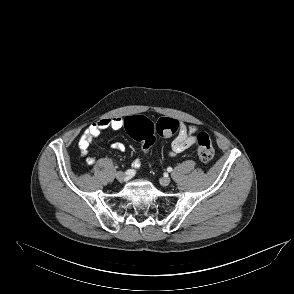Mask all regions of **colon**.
I'll use <instances>...</instances> for the list:
<instances>
[{"mask_svg": "<svg viewBox=\"0 0 294 294\" xmlns=\"http://www.w3.org/2000/svg\"><path fill=\"white\" fill-rule=\"evenodd\" d=\"M125 128L128 134L142 144L144 151L149 152L153 147L156 134L170 136L179 129V123L172 118H160L153 123L142 115L128 116L125 118ZM197 155L202 162H209L213 159L215 150L210 137L201 132L196 137Z\"/></svg>", "mask_w": 294, "mask_h": 294, "instance_id": "5ec220e1", "label": "colon"}]
</instances>
